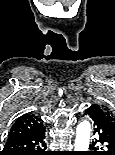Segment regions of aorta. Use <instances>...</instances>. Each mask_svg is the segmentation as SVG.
<instances>
[{
  "label": "aorta",
  "instance_id": "762f6f07",
  "mask_svg": "<svg viewBox=\"0 0 115 155\" xmlns=\"http://www.w3.org/2000/svg\"><path fill=\"white\" fill-rule=\"evenodd\" d=\"M91 125L88 121L78 124L76 129L75 151H87L90 142Z\"/></svg>",
  "mask_w": 115,
  "mask_h": 155
}]
</instances>
